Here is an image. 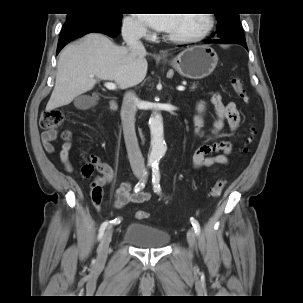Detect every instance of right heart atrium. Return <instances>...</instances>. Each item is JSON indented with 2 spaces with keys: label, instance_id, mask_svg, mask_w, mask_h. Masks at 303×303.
Returning <instances> with one entry per match:
<instances>
[{
  "label": "right heart atrium",
  "instance_id": "d8ad5b80",
  "mask_svg": "<svg viewBox=\"0 0 303 303\" xmlns=\"http://www.w3.org/2000/svg\"><path fill=\"white\" fill-rule=\"evenodd\" d=\"M122 31L125 35L134 38H143L148 34L146 26L134 16H127L123 19Z\"/></svg>",
  "mask_w": 303,
  "mask_h": 303
}]
</instances>
